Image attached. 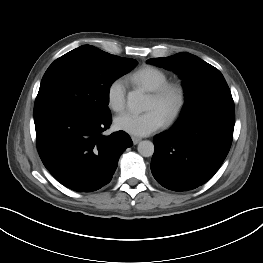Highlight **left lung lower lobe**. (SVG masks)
<instances>
[{
	"label": "left lung lower lobe",
	"mask_w": 263,
	"mask_h": 263,
	"mask_svg": "<svg viewBox=\"0 0 263 263\" xmlns=\"http://www.w3.org/2000/svg\"><path fill=\"white\" fill-rule=\"evenodd\" d=\"M234 124V108L220 107L188 120H178L168 131L156 135L151 160L156 181L178 192L206 183L230 150Z\"/></svg>",
	"instance_id": "1"
}]
</instances>
